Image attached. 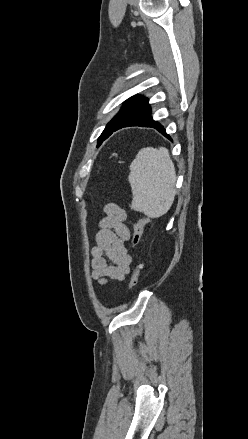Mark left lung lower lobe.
Instances as JSON below:
<instances>
[{"mask_svg":"<svg viewBox=\"0 0 248 439\" xmlns=\"http://www.w3.org/2000/svg\"><path fill=\"white\" fill-rule=\"evenodd\" d=\"M130 126H140V127H151L158 130L160 133L165 135L167 138H170L169 135L166 134L165 129L163 126L158 123L157 121H154L151 117V108L148 104V99L144 98L140 104L131 112L129 113L125 118H123L107 135L106 138H108L114 131H117L118 129H121L123 127H130Z\"/></svg>","mask_w":248,"mask_h":439,"instance_id":"0a47b994","label":"left lung lower lobe"}]
</instances>
